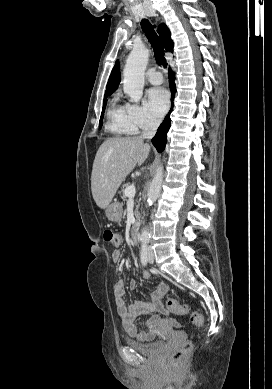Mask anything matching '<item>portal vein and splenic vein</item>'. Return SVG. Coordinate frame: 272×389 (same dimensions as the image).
<instances>
[{
    "mask_svg": "<svg viewBox=\"0 0 272 389\" xmlns=\"http://www.w3.org/2000/svg\"><path fill=\"white\" fill-rule=\"evenodd\" d=\"M136 194V189H135V186L134 185H131V186H128L126 189H125V195L129 198H132L134 197Z\"/></svg>",
    "mask_w": 272,
    "mask_h": 389,
    "instance_id": "18ae733b",
    "label": "portal vein and splenic vein"
}]
</instances>
